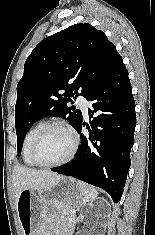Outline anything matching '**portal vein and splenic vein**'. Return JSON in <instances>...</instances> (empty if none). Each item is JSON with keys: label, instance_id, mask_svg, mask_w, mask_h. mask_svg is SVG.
Segmentation results:
<instances>
[{"label": "portal vein and splenic vein", "instance_id": "portal-vein-and-splenic-vein-1", "mask_svg": "<svg viewBox=\"0 0 155 235\" xmlns=\"http://www.w3.org/2000/svg\"><path fill=\"white\" fill-rule=\"evenodd\" d=\"M71 213L74 214V213H76V211H75L74 209H72V210H71Z\"/></svg>", "mask_w": 155, "mask_h": 235}]
</instances>
